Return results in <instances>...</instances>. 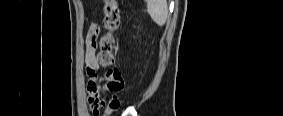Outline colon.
<instances>
[{
	"label": "colon",
	"instance_id": "1",
	"mask_svg": "<svg viewBox=\"0 0 283 116\" xmlns=\"http://www.w3.org/2000/svg\"><path fill=\"white\" fill-rule=\"evenodd\" d=\"M104 27L106 33L100 40V51L97 55L98 63L105 68V77L109 81V90L112 95L105 99L100 105L93 107L94 114L98 115L101 110L106 114L115 112L120 101L118 94L124 88L122 75L116 65L115 49H116V32L120 27V6L117 0H105L104 8Z\"/></svg>",
	"mask_w": 283,
	"mask_h": 116
}]
</instances>
